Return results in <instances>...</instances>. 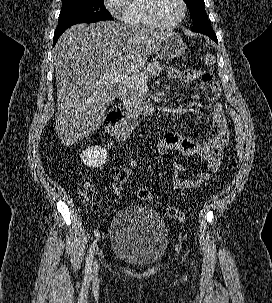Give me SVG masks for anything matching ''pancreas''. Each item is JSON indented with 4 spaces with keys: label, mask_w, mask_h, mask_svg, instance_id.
I'll return each instance as SVG.
<instances>
[{
    "label": "pancreas",
    "mask_w": 272,
    "mask_h": 303,
    "mask_svg": "<svg viewBox=\"0 0 272 303\" xmlns=\"http://www.w3.org/2000/svg\"><path fill=\"white\" fill-rule=\"evenodd\" d=\"M164 66L159 61L149 63L144 69L136 73L138 77L154 76L161 74ZM124 99L127 103H132L133 106L138 107L143 101V93L139 86L126 85L124 87Z\"/></svg>",
    "instance_id": "pancreas-1"
}]
</instances>
